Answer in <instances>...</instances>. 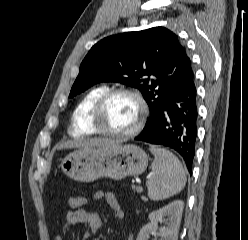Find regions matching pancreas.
<instances>
[{"instance_id":"cf45deb5","label":"pancreas","mask_w":248,"mask_h":240,"mask_svg":"<svg viewBox=\"0 0 248 240\" xmlns=\"http://www.w3.org/2000/svg\"><path fill=\"white\" fill-rule=\"evenodd\" d=\"M133 189H136L137 192H141V190H138L137 187H136V188L134 187ZM142 199H143V200H146L145 197H142Z\"/></svg>"}]
</instances>
